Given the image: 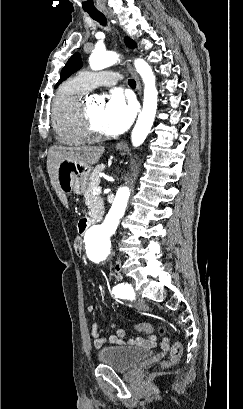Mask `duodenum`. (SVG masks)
Instances as JSON below:
<instances>
[{"label": "duodenum", "mask_w": 243, "mask_h": 409, "mask_svg": "<svg viewBox=\"0 0 243 409\" xmlns=\"http://www.w3.org/2000/svg\"><path fill=\"white\" fill-rule=\"evenodd\" d=\"M93 220L90 219H84L79 223V229L81 232H85L92 224Z\"/></svg>", "instance_id": "1"}]
</instances>
